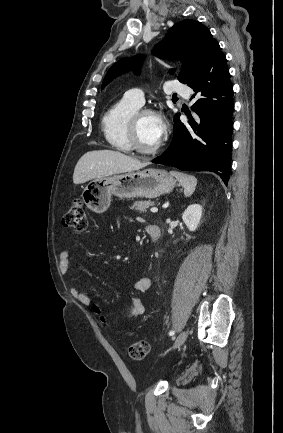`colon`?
<instances>
[{
    "label": "colon",
    "mask_w": 283,
    "mask_h": 433,
    "mask_svg": "<svg viewBox=\"0 0 283 433\" xmlns=\"http://www.w3.org/2000/svg\"><path fill=\"white\" fill-rule=\"evenodd\" d=\"M87 224L86 210L82 201L80 199L73 200L63 217V225L77 234H83L87 229ZM95 311L98 312V309L95 308ZM149 349L150 344L147 340H139L127 347L126 354L132 360H143Z\"/></svg>",
    "instance_id": "colon-1"
}]
</instances>
